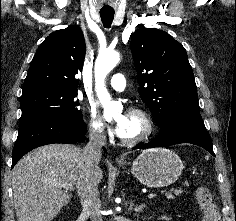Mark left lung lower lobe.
<instances>
[{
  "instance_id": "0a47b994",
  "label": "left lung lower lobe",
  "mask_w": 236,
  "mask_h": 221,
  "mask_svg": "<svg viewBox=\"0 0 236 221\" xmlns=\"http://www.w3.org/2000/svg\"><path fill=\"white\" fill-rule=\"evenodd\" d=\"M160 129L159 135L153 142L147 143L140 148L191 143L203 147L215 156L211 137L205 128L200 113H175L166 119Z\"/></svg>"
}]
</instances>
